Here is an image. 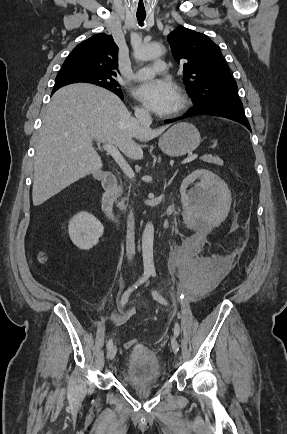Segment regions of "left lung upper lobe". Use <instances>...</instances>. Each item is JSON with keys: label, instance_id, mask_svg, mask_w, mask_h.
I'll use <instances>...</instances> for the list:
<instances>
[{"label": "left lung upper lobe", "instance_id": "obj_1", "mask_svg": "<svg viewBox=\"0 0 287 434\" xmlns=\"http://www.w3.org/2000/svg\"><path fill=\"white\" fill-rule=\"evenodd\" d=\"M168 42L176 62L184 66L183 81L195 107L243 106L220 49L206 35L178 27Z\"/></svg>", "mask_w": 287, "mask_h": 434}]
</instances>
